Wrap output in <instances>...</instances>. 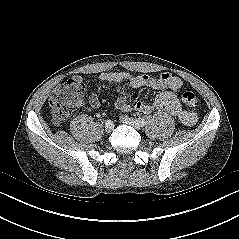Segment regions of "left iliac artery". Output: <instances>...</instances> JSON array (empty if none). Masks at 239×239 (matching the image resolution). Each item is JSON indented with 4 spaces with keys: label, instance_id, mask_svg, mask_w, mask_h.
I'll list each match as a JSON object with an SVG mask.
<instances>
[{
    "label": "left iliac artery",
    "instance_id": "1",
    "mask_svg": "<svg viewBox=\"0 0 239 239\" xmlns=\"http://www.w3.org/2000/svg\"><path fill=\"white\" fill-rule=\"evenodd\" d=\"M135 120H136V122H137L141 127H143V126L146 125L145 119H143V118H141V117H138V118H136Z\"/></svg>",
    "mask_w": 239,
    "mask_h": 239
}]
</instances>
